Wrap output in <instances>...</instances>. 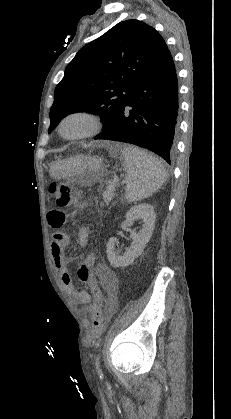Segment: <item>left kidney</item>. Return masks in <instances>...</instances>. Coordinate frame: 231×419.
I'll list each match as a JSON object with an SVG mask.
<instances>
[{
	"mask_svg": "<svg viewBox=\"0 0 231 419\" xmlns=\"http://www.w3.org/2000/svg\"><path fill=\"white\" fill-rule=\"evenodd\" d=\"M138 219L142 220L143 227L138 233L132 235L133 242L123 255H118L115 251V244L118 241L117 238L109 239L106 253L111 266L115 268L128 266L143 252L152 236L155 226L156 214L153 206L149 204H140L132 207L126 213V220L121 224V227L125 228L126 226H131L135 220Z\"/></svg>",
	"mask_w": 231,
	"mask_h": 419,
	"instance_id": "obj_1",
	"label": "left kidney"
}]
</instances>
